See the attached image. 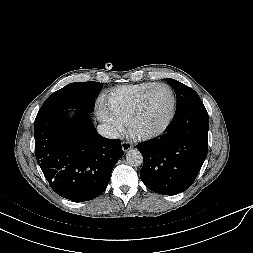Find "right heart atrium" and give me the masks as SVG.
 <instances>
[{
	"mask_svg": "<svg viewBox=\"0 0 253 253\" xmlns=\"http://www.w3.org/2000/svg\"><path fill=\"white\" fill-rule=\"evenodd\" d=\"M97 115L112 132H119L123 129V124L120 123L103 104L97 106Z\"/></svg>",
	"mask_w": 253,
	"mask_h": 253,
	"instance_id": "right-heart-atrium-1",
	"label": "right heart atrium"
}]
</instances>
